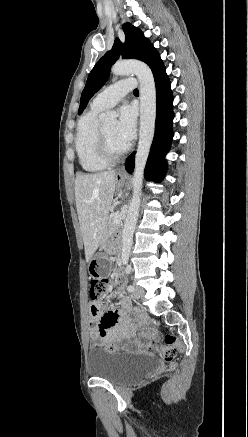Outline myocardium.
<instances>
[{
	"label": "myocardium",
	"instance_id": "obj_1",
	"mask_svg": "<svg viewBox=\"0 0 248 437\" xmlns=\"http://www.w3.org/2000/svg\"><path fill=\"white\" fill-rule=\"evenodd\" d=\"M130 149L129 145H126L119 151H113L108 143V139L104 132L103 125H100L98 130V152L101 158L107 163H113L125 155Z\"/></svg>",
	"mask_w": 248,
	"mask_h": 437
}]
</instances>
